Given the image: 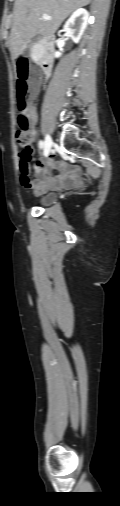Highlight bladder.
Listing matches in <instances>:
<instances>
[{"instance_id": "obj_1", "label": "bladder", "mask_w": 120, "mask_h": 506, "mask_svg": "<svg viewBox=\"0 0 120 506\" xmlns=\"http://www.w3.org/2000/svg\"><path fill=\"white\" fill-rule=\"evenodd\" d=\"M57 198L56 193H46L38 199V203L42 206H47L53 203Z\"/></svg>"}]
</instances>
